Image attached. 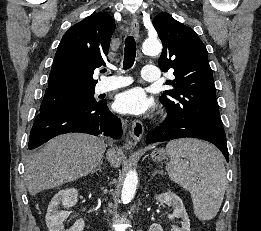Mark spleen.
<instances>
[{"instance_id":"spleen-1","label":"spleen","mask_w":261,"mask_h":231,"mask_svg":"<svg viewBox=\"0 0 261 231\" xmlns=\"http://www.w3.org/2000/svg\"><path fill=\"white\" fill-rule=\"evenodd\" d=\"M166 151L171 158L166 166L168 175L190 192L195 215L200 220L214 218L227 184L221 152L213 145L194 138L170 141Z\"/></svg>"}]
</instances>
